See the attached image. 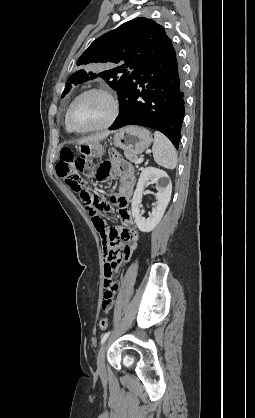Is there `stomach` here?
Segmentation results:
<instances>
[{"mask_svg":"<svg viewBox=\"0 0 255 418\" xmlns=\"http://www.w3.org/2000/svg\"><path fill=\"white\" fill-rule=\"evenodd\" d=\"M151 142V133L143 127L128 126L114 134L115 145L134 155L143 153ZM79 149L84 156L93 158L101 157L104 153V148L100 143L84 144Z\"/></svg>","mask_w":255,"mask_h":418,"instance_id":"0dacf381","label":"stomach"}]
</instances>
